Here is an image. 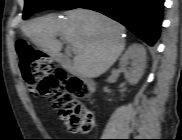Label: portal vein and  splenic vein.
Here are the masks:
<instances>
[{
    "instance_id": "obj_1",
    "label": "portal vein and splenic vein",
    "mask_w": 182,
    "mask_h": 140,
    "mask_svg": "<svg viewBox=\"0 0 182 140\" xmlns=\"http://www.w3.org/2000/svg\"><path fill=\"white\" fill-rule=\"evenodd\" d=\"M69 49H70L74 54L77 53L76 47H74V46H69Z\"/></svg>"
}]
</instances>
